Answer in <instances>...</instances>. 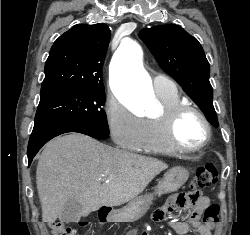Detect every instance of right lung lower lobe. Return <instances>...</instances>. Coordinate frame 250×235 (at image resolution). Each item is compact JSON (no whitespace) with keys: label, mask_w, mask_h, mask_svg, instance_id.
<instances>
[{"label":"right lung lower lobe","mask_w":250,"mask_h":235,"mask_svg":"<svg viewBox=\"0 0 250 235\" xmlns=\"http://www.w3.org/2000/svg\"><path fill=\"white\" fill-rule=\"evenodd\" d=\"M67 132H78L96 139H107L109 137V133L107 132L76 122L55 119L35 122L27 150L29 165L31 164L34 156L46 142Z\"/></svg>","instance_id":"1"}]
</instances>
